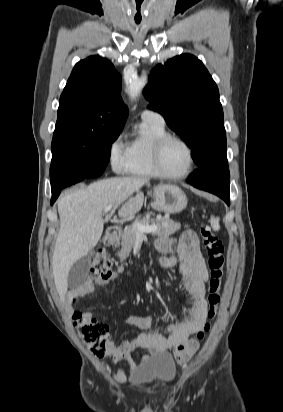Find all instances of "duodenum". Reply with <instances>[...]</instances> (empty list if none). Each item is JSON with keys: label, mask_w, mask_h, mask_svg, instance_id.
<instances>
[{"label": "duodenum", "mask_w": 283, "mask_h": 412, "mask_svg": "<svg viewBox=\"0 0 283 412\" xmlns=\"http://www.w3.org/2000/svg\"><path fill=\"white\" fill-rule=\"evenodd\" d=\"M119 233H120V228L115 227V226H110L107 229V232L105 235L106 244L113 245L114 243H116V241L118 240Z\"/></svg>", "instance_id": "410a0bca"}]
</instances>
